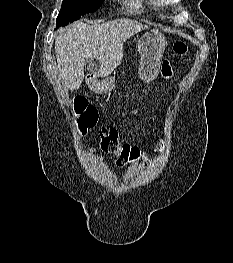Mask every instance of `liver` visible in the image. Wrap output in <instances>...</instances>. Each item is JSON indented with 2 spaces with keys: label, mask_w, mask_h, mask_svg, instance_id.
<instances>
[{
  "label": "liver",
  "mask_w": 233,
  "mask_h": 263,
  "mask_svg": "<svg viewBox=\"0 0 233 263\" xmlns=\"http://www.w3.org/2000/svg\"><path fill=\"white\" fill-rule=\"evenodd\" d=\"M145 29L148 26L126 18L94 25L77 22L62 29L55 39V53L65 87L81 86L88 59L95 75L111 74L122 62L124 42Z\"/></svg>",
  "instance_id": "obj_1"
}]
</instances>
